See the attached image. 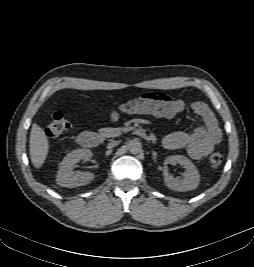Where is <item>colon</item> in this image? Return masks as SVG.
Instances as JSON below:
<instances>
[{"label": "colon", "instance_id": "5ec220e1", "mask_svg": "<svg viewBox=\"0 0 254 267\" xmlns=\"http://www.w3.org/2000/svg\"><path fill=\"white\" fill-rule=\"evenodd\" d=\"M71 128V122L61 112L52 115L50 123L46 128V134L50 138H56L65 134ZM209 164L212 168H218L223 162V156L214 152L209 156Z\"/></svg>", "mask_w": 254, "mask_h": 267}]
</instances>
